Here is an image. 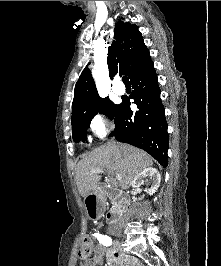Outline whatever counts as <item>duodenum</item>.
I'll use <instances>...</instances> for the list:
<instances>
[{
	"label": "duodenum",
	"mask_w": 221,
	"mask_h": 266,
	"mask_svg": "<svg viewBox=\"0 0 221 266\" xmlns=\"http://www.w3.org/2000/svg\"><path fill=\"white\" fill-rule=\"evenodd\" d=\"M107 193L108 191L103 185H98L95 189H89L87 198H85V206L89 219L101 218L103 206H105V201H103V198L106 197ZM109 194L117 200H123V196L118 191H111ZM120 214L121 208L109 210L106 213V220L108 224H116Z\"/></svg>",
	"instance_id": "obj_1"
}]
</instances>
